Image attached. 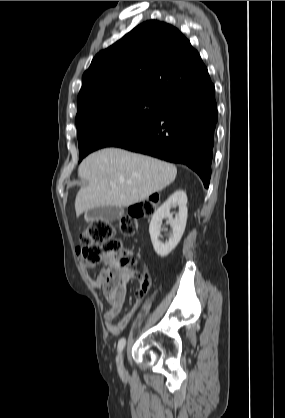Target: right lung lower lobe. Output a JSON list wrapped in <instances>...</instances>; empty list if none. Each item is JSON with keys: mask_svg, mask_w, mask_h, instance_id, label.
I'll return each instance as SVG.
<instances>
[{"mask_svg": "<svg viewBox=\"0 0 285 418\" xmlns=\"http://www.w3.org/2000/svg\"><path fill=\"white\" fill-rule=\"evenodd\" d=\"M160 105L159 115L148 126L114 147L187 165L208 188L218 120L209 74Z\"/></svg>", "mask_w": 285, "mask_h": 418, "instance_id": "1", "label": "right lung lower lobe"}]
</instances>
